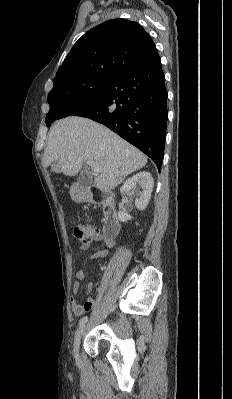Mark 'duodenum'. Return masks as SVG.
I'll list each match as a JSON object with an SVG mask.
<instances>
[{
	"instance_id": "1",
	"label": "duodenum",
	"mask_w": 232,
	"mask_h": 399,
	"mask_svg": "<svg viewBox=\"0 0 232 399\" xmlns=\"http://www.w3.org/2000/svg\"><path fill=\"white\" fill-rule=\"evenodd\" d=\"M78 196L84 202L101 205L104 215V236L108 239L115 238L119 233L120 224L113 193L99 190L93 186H84L79 188Z\"/></svg>"
}]
</instances>
